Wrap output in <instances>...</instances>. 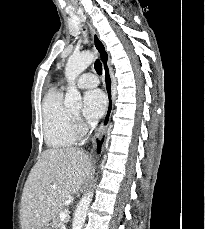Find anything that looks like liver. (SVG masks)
I'll list each match as a JSON object with an SVG mask.
<instances>
[{"mask_svg":"<svg viewBox=\"0 0 205 229\" xmlns=\"http://www.w3.org/2000/svg\"><path fill=\"white\" fill-rule=\"evenodd\" d=\"M91 157L76 147L47 149L33 166L21 198L23 229H43L89 177Z\"/></svg>","mask_w":205,"mask_h":229,"instance_id":"liver-1","label":"liver"}]
</instances>
